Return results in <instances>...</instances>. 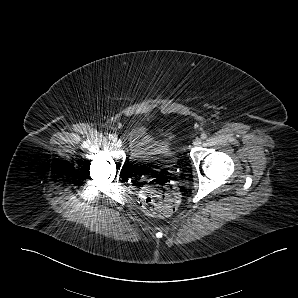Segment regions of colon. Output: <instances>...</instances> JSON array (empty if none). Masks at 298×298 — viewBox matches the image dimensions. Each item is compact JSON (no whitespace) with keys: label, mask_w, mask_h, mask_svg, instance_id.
Wrapping results in <instances>:
<instances>
[{"label":"colon","mask_w":298,"mask_h":298,"mask_svg":"<svg viewBox=\"0 0 298 298\" xmlns=\"http://www.w3.org/2000/svg\"><path fill=\"white\" fill-rule=\"evenodd\" d=\"M179 203L177 187L166 177L152 179L140 192V205L151 216H168L176 211Z\"/></svg>","instance_id":"colon-1"}]
</instances>
